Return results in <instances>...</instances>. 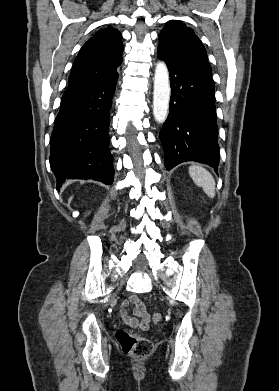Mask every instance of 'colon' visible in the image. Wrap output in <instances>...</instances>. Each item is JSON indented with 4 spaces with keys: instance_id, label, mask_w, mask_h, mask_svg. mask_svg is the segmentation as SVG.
I'll return each instance as SVG.
<instances>
[{
    "instance_id": "1",
    "label": "colon",
    "mask_w": 279,
    "mask_h": 391,
    "mask_svg": "<svg viewBox=\"0 0 279 391\" xmlns=\"http://www.w3.org/2000/svg\"><path fill=\"white\" fill-rule=\"evenodd\" d=\"M153 322L158 323L161 321L162 316L159 313H155L152 317ZM116 339L125 353H128L136 358H146L153 352L152 342L143 337L125 330H119L116 333Z\"/></svg>"
}]
</instances>
